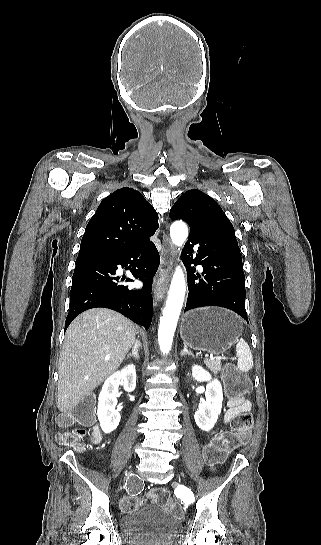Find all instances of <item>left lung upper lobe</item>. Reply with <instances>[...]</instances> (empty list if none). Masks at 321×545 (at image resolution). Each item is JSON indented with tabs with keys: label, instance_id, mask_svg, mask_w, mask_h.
Wrapping results in <instances>:
<instances>
[{
	"label": "left lung upper lobe",
	"instance_id": "5c2ea615",
	"mask_svg": "<svg viewBox=\"0 0 321 545\" xmlns=\"http://www.w3.org/2000/svg\"><path fill=\"white\" fill-rule=\"evenodd\" d=\"M171 219H183L190 226L210 223L213 220L228 218L218 203L200 190L186 191L175 202L170 211Z\"/></svg>",
	"mask_w": 321,
	"mask_h": 545
}]
</instances>
